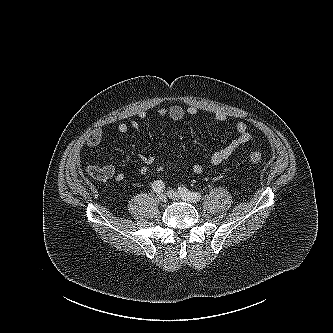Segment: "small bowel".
Wrapping results in <instances>:
<instances>
[{
    "mask_svg": "<svg viewBox=\"0 0 333 333\" xmlns=\"http://www.w3.org/2000/svg\"><path fill=\"white\" fill-rule=\"evenodd\" d=\"M158 115L161 118H170L173 121H181L186 115L194 116L197 114V109L193 106L186 109L180 105H171L169 107H160L157 110ZM215 120L218 122H224L226 116L218 112L215 114ZM139 123L136 120L130 123L120 122L117 125V131L121 134L127 133L130 129L137 130ZM236 137L225 147L214 151L209 158L210 166H218L228 160L235 151L243 144L251 141L252 134L248 130V126L243 121H238L235 124ZM104 138V133L101 129H94L86 138V143L90 147H96L101 144ZM140 160L142 165L139 168V173L145 175L148 173L150 166L155 162V157L147 154H140ZM206 166L202 163H195L192 166V171L195 174H201L205 171ZM90 177L97 181H108L114 179L118 182L125 179L123 172L116 171L114 165L107 164L104 166H90L87 170Z\"/></svg>",
    "mask_w": 333,
    "mask_h": 333,
    "instance_id": "obj_1",
    "label": "small bowel"
}]
</instances>
